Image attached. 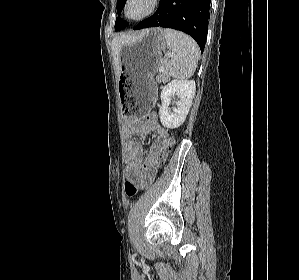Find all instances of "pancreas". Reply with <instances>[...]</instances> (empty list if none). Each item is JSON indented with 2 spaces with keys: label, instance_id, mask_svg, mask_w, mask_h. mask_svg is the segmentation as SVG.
<instances>
[{
  "label": "pancreas",
  "instance_id": "1",
  "mask_svg": "<svg viewBox=\"0 0 299 280\" xmlns=\"http://www.w3.org/2000/svg\"><path fill=\"white\" fill-rule=\"evenodd\" d=\"M168 80L167 71L160 72L159 75L156 77V81L158 83H164Z\"/></svg>",
  "mask_w": 299,
  "mask_h": 280
}]
</instances>
